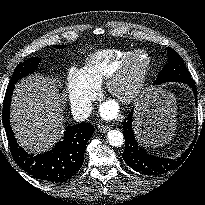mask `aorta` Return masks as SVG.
I'll use <instances>...</instances> for the list:
<instances>
[{
    "mask_svg": "<svg viewBox=\"0 0 205 205\" xmlns=\"http://www.w3.org/2000/svg\"><path fill=\"white\" fill-rule=\"evenodd\" d=\"M108 142L114 147H119L124 142L123 134L118 130H110L107 133Z\"/></svg>",
    "mask_w": 205,
    "mask_h": 205,
    "instance_id": "aorta-1",
    "label": "aorta"
}]
</instances>
